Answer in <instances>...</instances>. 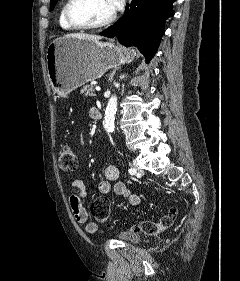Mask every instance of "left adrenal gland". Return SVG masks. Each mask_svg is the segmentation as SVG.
<instances>
[{"instance_id": "a2214340", "label": "left adrenal gland", "mask_w": 240, "mask_h": 281, "mask_svg": "<svg viewBox=\"0 0 240 281\" xmlns=\"http://www.w3.org/2000/svg\"><path fill=\"white\" fill-rule=\"evenodd\" d=\"M115 72H116V70H113V71H112V73H111V75H110V80L113 79Z\"/></svg>"}]
</instances>
